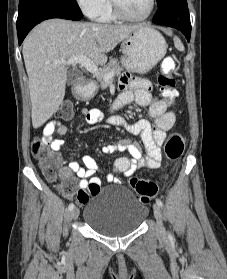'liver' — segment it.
<instances>
[{"instance_id":"obj_1","label":"liver","mask_w":227,"mask_h":279,"mask_svg":"<svg viewBox=\"0 0 227 279\" xmlns=\"http://www.w3.org/2000/svg\"><path fill=\"white\" fill-rule=\"evenodd\" d=\"M139 25H111L49 19L37 25L25 38L22 54L29 78L31 118L35 129L58 110L65 96L67 61L84 55L104 65L107 54Z\"/></svg>"}]
</instances>
